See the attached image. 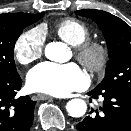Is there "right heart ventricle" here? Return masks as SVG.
<instances>
[{
  "mask_svg": "<svg viewBox=\"0 0 131 131\" xmlns=\"http://www.w3.org/2000/svg\"><path fill=\"white\" fill-rule=\"evenodd\" d=\"M55 32L59 38L74 47L86 41L90 35L88 26L74 18H66L57 22Z\"/></svg>",
  "mask_w": 131,
  "mask_h": 131,
  "instance_id": "right-heart-ventricle-1",
  "label": "right heart ventricle"
}]
</instances>
